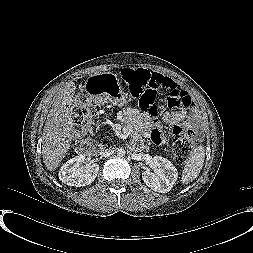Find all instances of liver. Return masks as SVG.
Segmentation results:
<instances>
[{"instance_id":"liver-1","label":"liver","mask_w":253,"mask_h":253,"mask_svg":"<svg viewBox=\"0 0 253 253\" xmlns=\"http://www.w3.org/2000/svg\"><path fill=\"white\" fill-rule=\"evenodd\" d=\"M76 86L69 82L59 88L43 129L42 155L46 168L56 170L70 149L75 134L72 102Z\"/></svg>"}]
</instances>
